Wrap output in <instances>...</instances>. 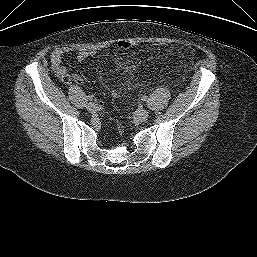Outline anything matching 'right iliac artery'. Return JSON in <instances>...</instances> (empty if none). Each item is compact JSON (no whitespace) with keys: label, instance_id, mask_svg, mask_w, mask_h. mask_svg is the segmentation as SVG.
<instances>
[{"label":"right iliac artery","instance_id":"82829eb1","mask_svg":"<svg viewBox=\"0 0 257 257\" xmlns=\"http://www.w3.org/2000/svg\"><path fill=\"white\" fill-rule=\"evenodd\" d=\"M87 99H88V100H93V96H92V95H88V96H87Z\"/></svg>","mask_w":257,"mask_h":257}]
</instances>
